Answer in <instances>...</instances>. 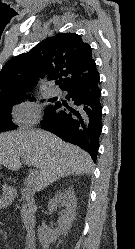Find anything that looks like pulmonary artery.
<instances>
[{"mask_svg": "<svg viewBox=\"0 0 135 249\" xmlns=\"http://www.w3.org/2000/svg\"><path fill=\"white\" fill-rule=\"evenodd\" d=\"M51 95L52 96H60L61 95V90L58 87H53L51 89Z\"/></svg>", "mask_w": 135, "mask_h": 249, "instance_id": "1", "label": "pulmonary artery"}]
</instances>
